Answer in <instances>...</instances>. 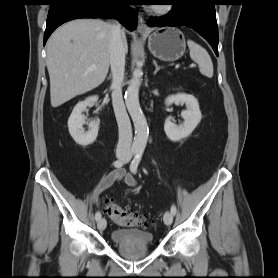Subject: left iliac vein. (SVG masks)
Instances as JSON below:
<instances>
[{
	"label": "left iliac vein",
	"instance_id": "4c4485c4",
	"mask_svg": "<svg viewBox=\"0 0 278 278\" xmlns=\"http://www.w3.org/2000/svg\"><path fill=\"white\" fill-rule=\"evenodd\" d=\"M163 220H164V223L166 225H171L172 222H173V214L169 211H167L165 214H164V217H163Z\"/></svg>",
	"mask_w": 278,
	"mask_h": 278
}]
</instances>
